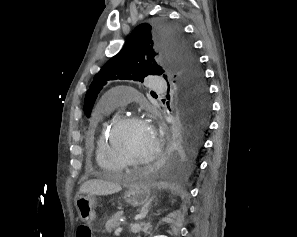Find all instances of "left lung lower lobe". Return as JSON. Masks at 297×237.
I'll return each mask as SVG.
<instances>
[{
	"instance_id": "1",
	"label": "left lung lower lobe",
	"mask_w": 297,
	"mask_h": 237,
	"mask_svg": "<svg viewBox=\"0 0 297 237\" xmlns=\"http://www.w3.org/2000/svg\"><path fill=\"white\" fill-rule=\"evenodd\" d=\"M170 99V96L167 95ZM176 106L182 118V128L175 132L166 165L175 168L189 163L202 146L203 134L207 128L210 112L209 103L198 105L187 95L177 92Z\"/></svg>"
}]
</instances>
